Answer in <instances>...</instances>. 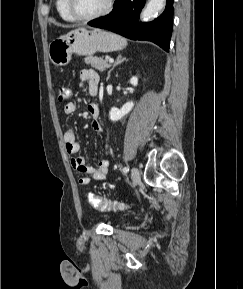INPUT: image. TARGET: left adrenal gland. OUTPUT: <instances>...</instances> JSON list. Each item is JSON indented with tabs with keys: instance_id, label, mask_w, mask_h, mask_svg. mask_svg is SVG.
I'll return each mask as SVG.
<instances>
[{
	"instance_id": "1",
	"label": "left adrenal gland",
	"mask_w": 243,
	"mask_h": 289,
	"mask_svg": "<svg viewBox=\"0 0 243 289\" xmlns=\"http://www.w3.org/2000/svg\"><path fill=\"white\" fill-rule=\"evenodd\" d=\"M125 60H126V58H123L121 54L118 55L115 63L113 64V67H112V68L110 69V71L108 72V77H107V79L110 78V73L113 71V69H114L118 64L124 62Z\"/></svg>"
}]
</instances>
